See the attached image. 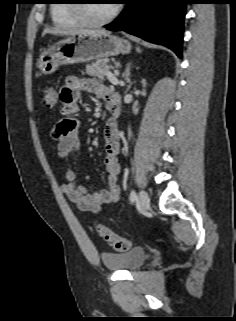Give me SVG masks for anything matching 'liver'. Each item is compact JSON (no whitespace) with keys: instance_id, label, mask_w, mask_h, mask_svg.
Returning a JSON list of instances; mask_svg holds the SVG:
<instances>
[{"instance_id":"1","label":"liver","mask_w":236,"mask_h":321,"mask_svg":"<svg viewBox=\"0 0 236 321\" xmlns=\"http://www.w3.org/2000/svg\"><path fill=\"white\" fill-rule=\"evenodd\" d=\"M47 33L55 34V35H74V34H87V35H93V36H99V35H105L110 34L109 31H106L104 29H98V30H91V29H73L69 31H61L59 29L55 28H46L43 31V36Z\"/></svg>"}]
</instances>
